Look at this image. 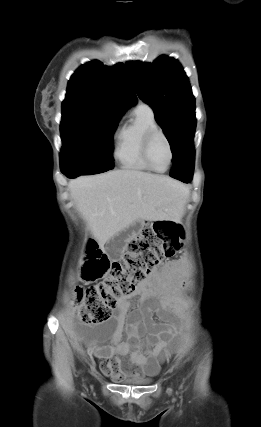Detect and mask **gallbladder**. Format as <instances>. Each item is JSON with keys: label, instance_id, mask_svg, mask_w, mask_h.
Segmentation results:
<instances>
[{"label": "gallbladder", "instance_id": "bac80fb5", "mask_svg": "<svg viewBox=\"0 0 261 427\" xmlns=\"http://www.w3.org/2000/svg\"><path fill=\"white\" fill-rule=\"evenodd\" d=\"M120 237H114L106 242L105 248L112 258H117L121 255Z\"/></svg>", "mask_w": 261, "mask_h": 427}]
</instances>
